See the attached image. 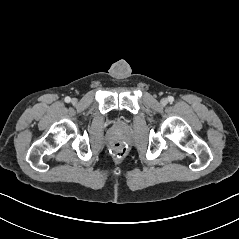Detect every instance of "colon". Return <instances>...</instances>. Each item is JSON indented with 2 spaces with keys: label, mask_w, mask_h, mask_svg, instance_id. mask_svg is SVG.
Listing matches in <instances>:
<instances>
[{
  "label": "colon",
  "mask_w": 239,
  "mask_h": 239,
  "mask_svg": "<svg viewBox=\"0 0 239 239\" xmlns=\"http://www.w3.org/2000/svg\"><path fill=\"white\" fill-rule=\"evenodd\" d=\"M113 153L116 157H123L126 154V146L122 142L113 144Z\"/></svg>",
  "instance_id": "obj_1"
}]
</instances>
